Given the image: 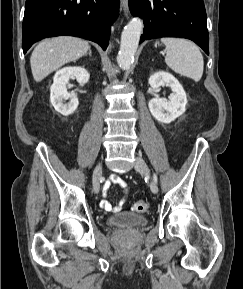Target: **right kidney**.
<instances>
[{
	"mask_svg": "<svg viewBox=\"0 0 243 289\" xmlns=\"http://www.w3.org/2000/svg\"><path fill=\"white\" fill-rule=\"evenodd\" d=\"M76 78L79 84L83 85L89 81V73L83 67H64L58 70L53 77V84L50 87V101L55 110L68 116L72 114L78 107L79 101L75 93L67 92L66 85L70 78ZM70 100L68 104H64L63 100Z\"/></svg>",
	"mask_w": 243,
	"mask_h": 289,
	"instance_id": "ca27d5eb",
	"label": "right kidney"
}]
</instances>
